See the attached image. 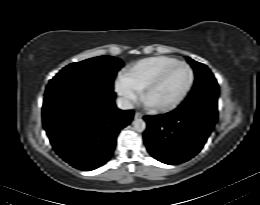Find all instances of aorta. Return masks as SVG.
Wrapping results in <instances>:
<instances>
[{
  "label": "aorta",
  "instance_id": "obj_1",
  "mask_svg": "<svg viewBox=\"0 0 260 205\" xmlns=\"http://www.w3.org/2000/svg\"><path fill=\"white\" fill-rule=\"evenodd\" d=\"M134 130L137 132H143L146 129V123L143 119L137 118L133 121Z\"/></svg>",
  "mask_w": 260,
  "mask_h": 205
}]
</instances>
